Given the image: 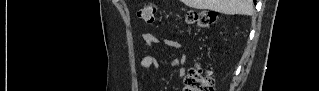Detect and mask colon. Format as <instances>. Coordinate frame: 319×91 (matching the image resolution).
<instances>
[{
	"instance_id": "1",
	"label": "colon",
	"mask_w": 319,
	"mask_h": 91,
	"mask_svg": "<svg viewBox=\"0 0 319 91\" xmlns=\"http://www.w3.org/2000/svg\"><path fill=\"white\" fill-rule=\"evenodd\" d=\"M157 14L155 3H146L137 10L139 20L153 24ZM184 23L188 28L202 29L216 23L217 17L212 12H188L184 16ZM186 91H213L214 80L211 72L196 66L189 70L184 80Z\"/></svg>"
}]
</instances>
